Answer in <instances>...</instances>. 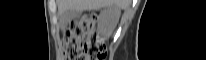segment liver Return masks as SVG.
<instances>
[{"label":"liver","mask_w":206,"mask_h":60,"mask_svg":"<svg viewBox=\"0 0 206 60\" xmlns=\"http://www.w3.org/2000/svg\"><path fill=\"white\" fill-rule=\"evenodd\" d=\"M58 10L59 14H63L67 10H97L103 7L113 6L116 9L124 8L126 0H58ZM119 20V15L115 17L111 28L109 29L110 33L116 26ZM109 33V34H110Z\"/></svg>","instance_id":"1"}]
</instances>
